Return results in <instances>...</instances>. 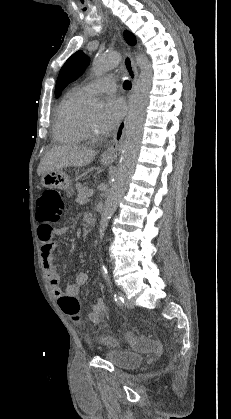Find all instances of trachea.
<instances>
[{
  "mask_svg": "<svg viewBox=\"0 0 231 419\" xmlns=\"http://www.w3.org/2000/svg\"><path fill=\"white\" fill-rule=\"evenodd\" d=\"M123 86H124V88H125V89H130V88H131V83H130V81L126 80V81L123 83Z\"/></svg>",
  "mask_w": 231,
  "mask_h": 419,
  "instance_id": "trachea-1",
  "label": "trachea"
}]
</instances>
